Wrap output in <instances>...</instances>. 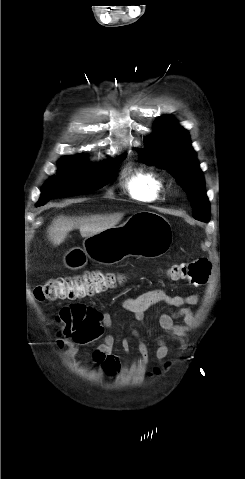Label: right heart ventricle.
Segmentation results:
<instances>
[{"instance_id": "e07e8e85", "label": "right heart ventricle", "mask_w": 245, "mask_h": 479, "mask_svg": "<svg viewBox=\"0 0 245 479\" xmlns=\"http://www.w3.org/2000/svg\"><path fill=\"white\" fill-rule=\"evenodd\" d=\"M165 180L157 172L137 170L126 181V189L129 194L142 202L158 200L165 190Z\"/></svg>"}]
</instances>
